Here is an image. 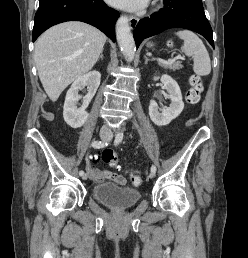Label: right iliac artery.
Listing matches in <instances>:
<instances>
[{
	"label": "right iliac artery",
	"mask_w": 248,
	"mask_h": 258,
	"mask_svg": "<svg viewBox=\"0 0 248 258\" xmlns=\"http://www.w3.org/2000/svg\"><path fill=\"white\" fill-rule=\"evenodd\" d=\"M108 145V142H105V141H93L92 142V146L94 147V148H103V147H105V146H107ZM79 175L80 176H83L84 175V171L83 170H81L80 172H79Z\"/></svg>",
	"instance_id": "right-iliac-artery-1"
}]
</instances>
